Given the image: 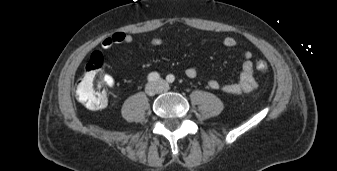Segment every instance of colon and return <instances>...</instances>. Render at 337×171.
I'll use <instances>...</instances> for the list:
<instances>
[{
    "label": "colon",
    "instance_id": "colon-1",
    "mask_svg": "<svg viewBox=\"0 0 337 171\" xmlns=\"http://www.w3.org/2000/svg\"><path fill=\"white\" fill-rule=\"evenodd\" d=\"M103 59L99 52H94L86 64L84 74L76 86V98L90 109H101L106 104L105 82L102 78ZM255 68L265 73L268 64L261 58L255 59Z\"/></svg>",
    "mask_w": 337,
    "mask_h": 171
}]
</instances>
